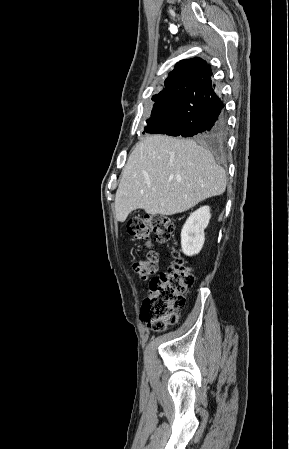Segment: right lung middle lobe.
Here are the masks:
<instances>
[{"mask_svg": "<svg viewBox=\"0 0 289 449\" xmlns=\"http://www.w3.org/2000/svg\"><path fill=\"white\" fill-rule=\"evenodd\" d=\"M152 100L155 101V104L151 118L147 120L145 132L156 134L163 124L173 120L174 113L167 93L157 94L152 97Z\"/></svg>", "mask_w": 289, "mask_h": 449, "instance_id": "1", "label": "right lung middle lobe"}]
</instances>
